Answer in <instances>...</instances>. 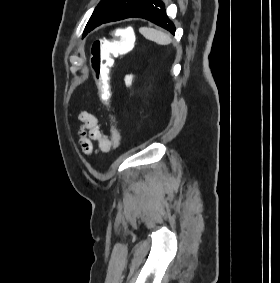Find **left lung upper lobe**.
Listing matches in <instances>:
<instances>
[{
	"label": "left lung upper lobe",
	"mask_w": 280,
	"mask_h": 283,
	"mask_svg": "<svg viewBox=\"0 0 280 283\" xmlns=\"http://www.w3.org/2000/svg\"><path fill=\"white\" fill-rule=\"evenodd\" d=\"M147 0H102L90 17L84 35L101 25L103 22L117 18L128 17L145 4Z\"/></svg>",
	"instance_id": "5c2ea615"
}]
</instances>
